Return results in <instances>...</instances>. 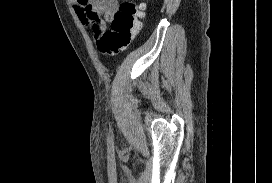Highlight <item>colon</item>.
Masks as SVG:
<instances>
[{"label":"colon","instance_id":"obj_1","mask_svg":"<svg viewBox=\"0 0 272 183\" xmlns=\"http://www.w3.org/2000/svg\"><path fill=\"white\" fill-rule=\"evenodd\" d=\"M145 5L133 0H124L117 10L111 28L98 41V49L107 56L125 51L141 28Z\"/></svg>","mask_w":272,"mask_h":183}]
</instances>
